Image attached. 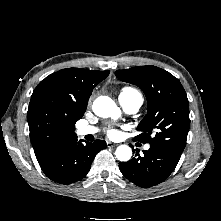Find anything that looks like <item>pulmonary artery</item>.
<instances>
[{"label": "pulmonary artery", "mask_w": 221, "mask_h": 221, "mask_svg": "<svg viewBox=\"0 0 221 221\" xmlns=\"http://www.w3.org/2000/svg\"><path fill=\"white\" fill-rule=\"evenodd\" d=\"M119 102L127 114H135L141 107L143 100L140 96H125L120 95L119 96ZM98 132V128L94 126H81L77 129V134L79 136H87V135H93ZM150 146L147 144L145 145V149L148 150Z\"/></svg>", "instance_id": "pulmonary-artery-1"}]
</instances>
